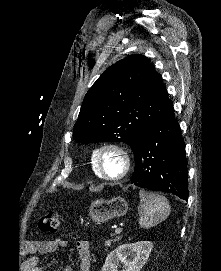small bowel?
<instances>
[{"mask_svg":"<svg viewBox=\"0 0 221 271\" xmlns=\"http://www.w3.org/2000/svg\"><path fill=\"white\" fill-rule=\"evenodd\" d=\"M67 241L62 238L34 240L28 242L30 251L34 254L28 261V267L31 271H42L37 267L39 257L45 254L56 253L59 248L65 247ZM76 249L79 257V271L91 270V253L89 242L85 239L76 241ZM62 271H74L71 265H65Z\"/></svg>","mask_w":221,"mask_h":271,"instance_id":"small-bowel-1","label":"small bowel"}]
</instances>
